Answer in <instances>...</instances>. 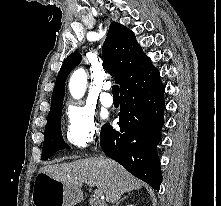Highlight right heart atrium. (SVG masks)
<instances>
[{
  "label": "right heart atrium",
  "mask_w": 221,
  "mask_h": 206,
  "mask_svg": "<svg viewBox=\"0 0 221 206\" xmlns=\"http://www.w3.org/2000/svg\"><path fill=\"white\" fill-rule=\"evenodd\" d=\"M66 138L76 147L83 148L95 141L98 131L94 121V114L80 103L71 102L65 108Z\"/></svg>",
  "instance_id": "1"
}]
</instances>
